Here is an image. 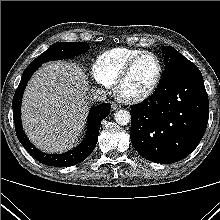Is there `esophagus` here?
<instances>
[{
  "label": "esophagus",
  "mask_w": 220,
  "mask_h": 220,
  "mask_svg": "<svg viewBox=\"0 0 220 220\" xmlns=\"http://www.w3.org/2000/svg\"><path fill=\"white\" fill-rule=\"evenodd\" d=\"M111 108H112V110H116V109H119L120 106H119L117 103L112 102V103H111Z\"/></svg>",
  "instance_id": "esophagus-1"
}]
</instances>
